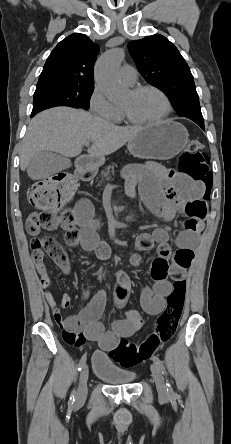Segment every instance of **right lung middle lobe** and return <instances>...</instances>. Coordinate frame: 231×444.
<instances>
[{"label":"right lung middle lobe","mask_w":231,"mask_h":444,"mask_svg":"<svg viewBox=\"0 0 231 444\" xmlns=\"http://www.w3.org/2000/svg\"><path fill=\"white\" fill-rule=\"evenodd\" d=\"M93 89V86L76 85L36 87L31 115L34 116L39 111L55 106H71L86 110L88 109V99Z\"/></svg>","instance_id":"dd1d6c3e"}]
</instances>
